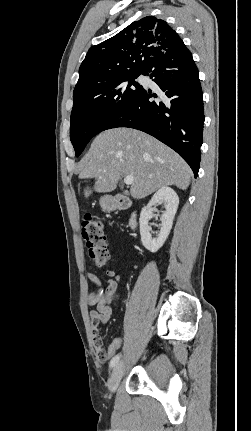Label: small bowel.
<instances>
[{"label": "small bowel", "mask_w": 251, "mask_h": 431, "mask_svg": "<svg viewBox=\"0 0 251 431\" xmlns=\"http://www.w3.org/2000/svg\"><path fill=\"white\" fill-rule=\"evenodd\" d=\"M107 276V287L105 292L101 291V281L94 273H88V279L93 284V289L88 296V304L95 306V309L89 313L93 343L96 348L95 357L99 359L101 365L108 363L107 349L102 348V338L99 335L98 327L101 324H106L110 321L112 315V304L116 300V295L119 287L120 276L114 269L105 271Z\"/></svg>", "instance_id": "1"}]
</instances>
